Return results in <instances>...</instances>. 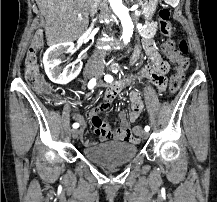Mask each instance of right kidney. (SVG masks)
<instances>
[{"label":"right kidney","mask_w":217,"mask_h":202,"mask_svg":"<svg viewBox=\"0 0 217 202\" xmlns=\"http://www.w3.org/2000/svg\"><path fill=\"white\" fill-rule=\"evenodd\" d=\"M68 46L70 52H74L73 42H64V44H56V46H51V48L46 50L43 56L45 72L48 78H50L52 82H57V84H67V82H70V80H74V78H77L82 68V62H80V66L75 68L73 72H65V74L62 72L61 74L58 66L61 64V56L64 54V52H67Z\"/></svg>","instance_id":"ca27d5eb"}]
</instances>
